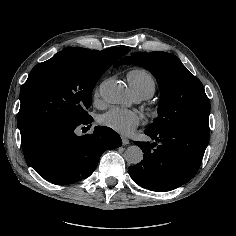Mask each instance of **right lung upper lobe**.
<instances>
[{"instance_id":"right-lung-upper-lobe-1","label":"right lung upper lobe","mask_w":236,"mask_h":236,"mask_svg":"<svg viewBox=\"0 0 236 236\" xmlns=\"http://www.w3.org/2000/svg\"><path fill=\"white\" fill-rule=\"evenodd\" d=\"M90 50V49H89ZM94 54L110 61L112 64L129 52L127 48L112 47L102 51L91 50Z\"/></svg>"}]
</instances>
